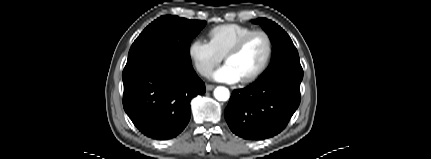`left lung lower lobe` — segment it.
Wrapping results in <instances>:
<instances>
[{"label":"left lung lower lobe","instance_id":"obj_1","mask_svg":"<svg viewBox=\"0 0 431 159\" xmlns=\"http://www.w3.org/2000/svg\"><path fill=\"white\" fill-rule=\"evenodd\" d=\"M302 78L303 70L282 69L234 90L224 112L231 131L247 140L280 133L300 104Z\"/></svg>","mask_w":431,"mask_h":159}]
</instances>
